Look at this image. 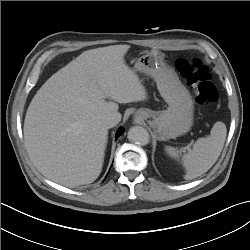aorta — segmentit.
Returning <instances> with one entry per match:
<instances>
[{"label":"aorta","mask_w":250,"mask_h":250,"mask_svg":"<svg viewBox=\"0 0 250 250\" xmlns=\"http://www.w3.org/2000/svg\"><path fill=\"white\" fill-rule=\"evenodd\" d=\"M128 139L130 142L144 146L149 143L150 135L145 128L141 126H133L128 131Z\"/></svg>","instance_id":"aorta-1"}]
</instances>
